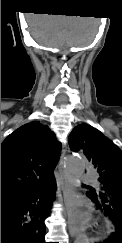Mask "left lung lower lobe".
Instances as JSON below:
<instances>
[{
    "mask_svg": "<svg viewBox=\"0 0 122 243\" xmlns=\"http://www.w3.org/2000/svg\"><path fill=\"white\" fill-rule=\"evenodd\" d=\"M105 190V196L98 195L93 189L86 194L95 204L97 209L104 211L114 225L115 232L104 242L100 243H122V219L113 217L114 209L122 202V176H112L100 180Z\"/></svg>",
    "mask_w": 122,
    "mask_h": 243,
    "instance_id": "0a47b994",
    "label": "left lung lower lobe"
}]
</instances>
